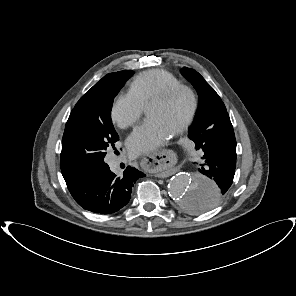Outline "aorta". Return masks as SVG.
Here are the masks:
<instances>
[{
    "instance_id": "762f6f07",
    "label": "aorta",
    "mask_w": 296,
    "mask_h": 296,
    "mask_svg": "<svg viewBox=\"0 0 296 296\" xmlns=\"http://www.w3.org/2000/svg\"><path fill=\"white\" fill-rule=\"evenodd\" d=\"M217 184L203 175L178 173L168 184V193L184 212L202 214L209 211L217 199Z\"/></svg>"
}]
</instances>
